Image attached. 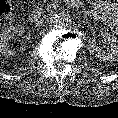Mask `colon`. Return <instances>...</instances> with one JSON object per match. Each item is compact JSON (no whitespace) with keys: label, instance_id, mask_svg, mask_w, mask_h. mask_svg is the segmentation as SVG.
<instances>
[{"label":"colon","instance_id":"colon-1","mask_svg":"<svg viewBox=\"0 0 118 118\" xmlns=\"http://www.w3.org/2000/svg\"><path fill=\"white\" fill-rule=\"evenodd\" d=\"M12 14V8L9 0H0V25L7 23Z\"/></svg>","mask_w":118,"mask_h":118}]
</instances>
